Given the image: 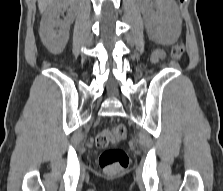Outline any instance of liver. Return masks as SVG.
Listing matches in <instances>:
<instances>
[{
  "instance_id": "1",
  "label": "liver",
  "mask_w": 223,
  "mask_h": 191,
  "mask_svg": "<svg viewBox=\"0 0 223 191\" xmlns=\"http://www.w3.org/2000/svg\"><path fill=\"white\" fill-rule=\"evenodd\" d=\"M54 0H38V8L40 13H43L47 6L51 4Z\"/></svg>"
}]
</instances>
